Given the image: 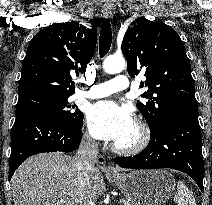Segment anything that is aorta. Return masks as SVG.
<instances>
[{
	"mask_svg": "<svg viewBox=\"0 0 212 205\" xmlns=\"http://www.w3.org/2000/svg\"><path fill=\"white\" fill-rule=\"evenodd\" d=\"M125 66L126 61L122 56H109L103 62V69L108 74L120 73Z\"/></svg>",
	"mask_w": 212,
	"mask_h": 205,
	"instance_id": "obj_1",
	"label": "aorta"
}]
</instances>
